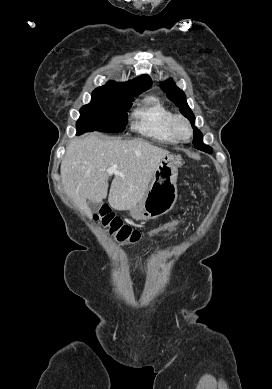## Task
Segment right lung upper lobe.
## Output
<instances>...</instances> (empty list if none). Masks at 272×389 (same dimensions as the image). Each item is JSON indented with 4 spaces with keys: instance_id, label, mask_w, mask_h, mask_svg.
I'll return each mask as SVG.
<instances>
[{
    "instance_id": "right-lung-upper-lobe-1",
    "label": "right lung upper lobe",
    "mask_w": 272,
    "mask_h": 389,
    "mask_svg": "<svg viewBox=\"0 0 272 389\" xmlns=\"http://www.w3.org/2000/svg\"><path fill=\"white\" fill-rule=\"evenodd\" d=\"M150 86L151 78L147 75H142L124 83L110 81L106 85L98 87L95 90L118 92L127 95H137L149 89Z\"/></svg>"
}]
</instances>
